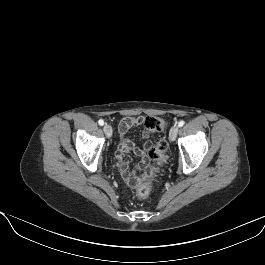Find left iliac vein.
Segmentation results:
<instances>
[{"instance_id":"4c4485c4","label":"left iliac vein","mask_w":265,"mask_h":265,"mask_svg":"<svg viewBox=\"0 0 265 265\" xmlns=\"http://www.w3.org/2000/svg\"><path fill=\"white\" fill-rule=\"evenodd\" d=\"M178 126L174 125L172 126V128L170 129V132H169V138L171 141H174L177 137V134H178Z\"/></svg>"}]
</instances>
